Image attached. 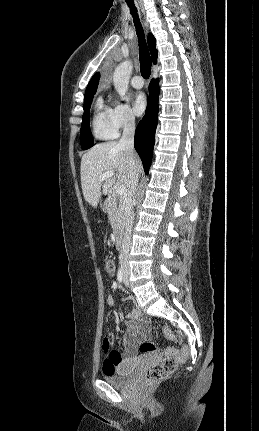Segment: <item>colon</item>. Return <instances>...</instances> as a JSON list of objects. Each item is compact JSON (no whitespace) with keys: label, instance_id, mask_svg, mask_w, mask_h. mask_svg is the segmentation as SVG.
<instances>
[{"label":"colon","instance_id":"colon-1","mask_svg":"<svg viewBox=\"0 0 259 431\" xmlns=\"http://www.w3.org/2000/svg\"><path fill=\"white\" fill-rule=\"evenodd\" d=\"M105 269L107 273L112 276L115 272V263L113 260L108 259L105 262ZM161 334L166 341L175 342L181 344L180 350L174 348H167L160 350V348L150 342H144L139 346L141 353H154L162 351L166 356L157 364L150 367L144 374V382L146 384H153L164 380L171 375L178 367V365L184 363L189 355V347L183 344V336L173 331L168 326L161 327ZM103 351L107 354L110 351V344L108 341H103ZM111 372V371H106Z\"/></svg>","mask_w":259,"mask_h":431}]
</instances>
